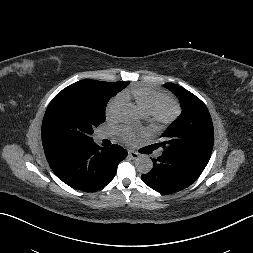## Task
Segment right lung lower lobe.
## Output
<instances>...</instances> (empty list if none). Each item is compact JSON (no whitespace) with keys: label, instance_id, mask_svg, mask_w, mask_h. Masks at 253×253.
<instances>
[{"label":"right lung lower lobe","instance_id":"right-lung-lower-lobe-1","mask_svg":"<svg viewBox=\"0 0 253 253\" xmlns=\"http://www.w3.org/2000/svg\"><path fill=\"white\" fill-rule=\"evenodd\" d=\"M53 172L67 185L82 191H96L112 181L127 152L113 144L102 148L94 142L86 145H61L44 148Z\"/></svg>","mask_w":253,"mask_h":253}]
</instances>
